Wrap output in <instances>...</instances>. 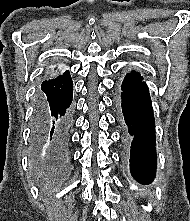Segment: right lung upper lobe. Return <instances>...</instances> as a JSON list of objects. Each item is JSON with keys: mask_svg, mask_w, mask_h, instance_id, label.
<instances>
[{"mask_svg": "<svg viewBox=\"0 0 190 221\" xmlns=\"http://www.w3.org/2000/svg\"><path fill=\"white\" fill-rule=\"evenodd\" d=\"M56 72H58V70H57V69H54V70H53V73H56ZM64 73H68V71H66V72H64Z\"/></svg>", "mask_w": 190, "mask_h": 221, "instance_id": "right-lung-upper-lobe-1", "label": "right lung upper lobe"}]
</instances>
